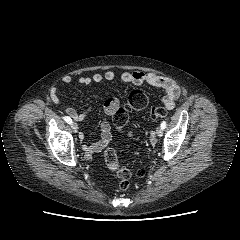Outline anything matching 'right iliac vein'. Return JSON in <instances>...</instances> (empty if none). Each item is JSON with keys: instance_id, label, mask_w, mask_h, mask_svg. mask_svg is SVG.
I'll return each mask as SVG.
<instances>
[{"instance_id": "right-iliac-vein-1", "label": "right iliac vein", "mask_w": 240, "mask_h": 240, "mask_svg": "<svg viewBox=\"0 0 240 240\" xmlns=\"http://www.w3.org/2000/svg\"><path fill=\"white\" fill-rule=\"evenodd\" d=\"M71 128H72V130L75 132V133H77L78 132V125L75 123V122H72L71 123Z\"/></svg>"}]
</instances>
